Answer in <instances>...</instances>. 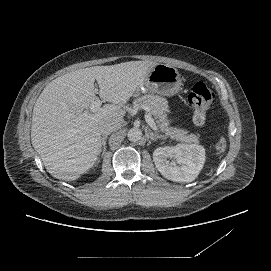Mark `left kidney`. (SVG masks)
<instances>
[{
    "instance_id": "5707ae66",
    "label": "left kidney",
    "mask_w": 271,
    "mask_h": 271,
    "mask_svg": "<svg viewBox=\"0 0 271 271\" xmlns=\"http://www.w3.org/2000/svg\"><path fill=\"white\" fill-rule=\"evenodd\" d=\"M204 159V148L195 144L158 147L153 152V161L160 174L179 183L192 182L202 169Z\"/></svg>"
}]
</instances>
